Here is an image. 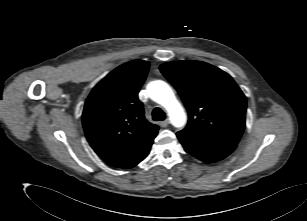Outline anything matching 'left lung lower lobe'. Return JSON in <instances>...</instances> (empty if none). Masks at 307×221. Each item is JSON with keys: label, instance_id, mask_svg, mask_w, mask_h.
I'll return each mask as SVG.
<instances>
[{"label": "left lung lower lobe", "instance_id": "0a47b994", "mask_svg": "<svg viewBox=\"0 0 307 221\" xmlns=\"http://www.w3.org/2000/svg\"><path fill=\"white\" fill-rule=\"evenodd\" d=\"M177 137L186 152L206 163L224 159L237 147L236 143L200 138L182 132H178Z\"/></svg>", "mask_w": 307, "mask_h": 221}]
</instances>
